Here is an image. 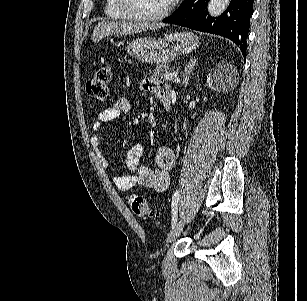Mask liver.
I'll use <instances>...</instances> for the list:
<instances>
[{
    "instance_id": "6515ba94",
    "label": "liver",
    "mask_w": 307,
    "mask_h": 301,
    "mask_svg": "<svg viewBox=\"0 0 307 301\" xmlns=\"http://www.w3.org/2000/svg\"><path fill=\"white\" fill-rule=\"evenodd\" d=\"M161 22H121V20H101L94 26L92 40L99 42L104 36L110 34H134L142 30H157L161 28Z\"/></svg>"
}]
</instances>
